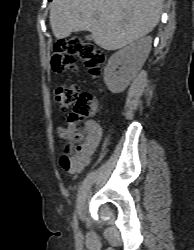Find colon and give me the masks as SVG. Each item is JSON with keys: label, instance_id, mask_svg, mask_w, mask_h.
Segmentation results:
<instances>
[{"label": "colon", "instance_id": "5ec220e1", "mask_svg": "<svg viewBox=\"0 0 194 250\" xmlns=\"http://www.w3.org/2000/svg\"><path fill=\"white\" fill-rule=\"evenodd\" d=\"M81 61L88 71L99 76L105 63V55L93 43L77 37L61 40L56 43L51 56V69L54 73H64L76 69L77 61ZM55 98L62 110H72L69 118L71 124L91 116L96 109V102L91 93L79 91L77 85L61 84L55 90ZM82 133L74 134V141L67 143L62 151L61 166L68 167L78 158L81 146L77 143Z\"/></svg>", "mask_w": 194, "mask_h": 250}]
</instances>
